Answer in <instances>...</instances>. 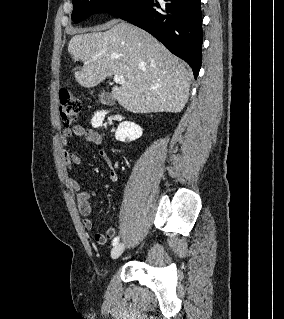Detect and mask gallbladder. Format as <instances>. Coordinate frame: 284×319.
I'll return each mask as SVG.
<instances>
[{
	"mask_svg": "<svg viewBox=\"0 0 284 319\" xmlns=\"http://www.w3.org/2000/svg\"><path fill=\"white\" fill-rule=\"evenodd\" d=\"M98 96H99V101L102 104H112L114 102L113 96L108 92H101L99 93Z\"/></svg>",
	"mask_w": 284,
	"mask_h": 319,
	"instance_id": "obj_1",
	"label": "gallbladder"
}]
</instances>
